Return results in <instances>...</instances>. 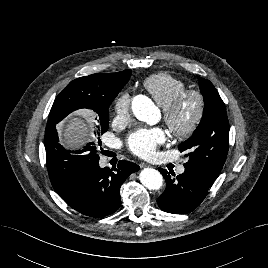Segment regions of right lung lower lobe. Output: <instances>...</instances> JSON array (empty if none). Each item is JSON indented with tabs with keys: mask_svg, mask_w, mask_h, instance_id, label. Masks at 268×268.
I'll use <instances>...</instances> for the list:
<instances>
[{
	"mask_svg": "<svg viewBox=\"0 0 268 268\" xmlns=\"http://www.w3.org/2000/svg\"><path fill=\"white\" fill-rule=\"evenodd\" d=\"M139 169L137 164L126 160L119 161L117 167L111 170L108 167L100 168L98 160L61 198L83 215L90 217L110 215L120 206L122 183Z\"/></svg>",
	"mask_w": 268,
	"mask_h": 268,
	"instance_id": "obj_1",
	"label": "right lung lower lobe"
}]
</instances>
